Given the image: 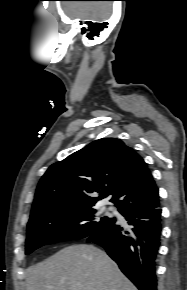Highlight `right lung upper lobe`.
<instances>
[{"label":"right lung upper lobe","mask_w":187,"mask_h":290,"mask_svg":"<svg viewBox=\"0 0 187 290\" xmlns=\"http://www.w3.org/2000/svg\"><path fill=\"white\" fill-rule=\"evenodd\" d=\"M108 195L120 212L159 204L147 164L116 138L96 140L51 165L38 184L28 225L54 212L95 205Z\"/></svg>","instance_id":"cb5924a9"}]
</instances>
